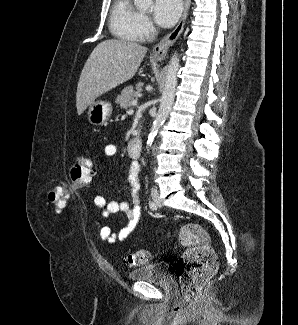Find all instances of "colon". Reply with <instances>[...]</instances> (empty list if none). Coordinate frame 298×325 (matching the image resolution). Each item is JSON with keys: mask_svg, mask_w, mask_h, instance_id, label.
<instances>
[{"mask_svg": "<svg viewBox=\"0 0 298 325\" xmlns=\"http://www.w3.org/2000/svg\"><path fill=\"white\" fill-rule=\"evenodd\" d=\"M93 172L92 156L89 154L79 156L71 169L70 186L52 189L47 197L48 202L60 209L74 190L82 189L90 183ZM179 240L185 250L178 262L176 275L183 296L194 299L215 274L216 256L207 232L197 224L184 225L180 229ZM150 259L151 253L140 249L131 252L127 262L131 266H139L148 263Z\"/></svg>", "mask_w": 298, "mask_h": 325, "instance_id": "1", "label": "colon"}]
</instances>
